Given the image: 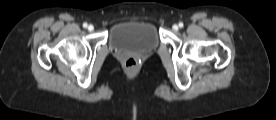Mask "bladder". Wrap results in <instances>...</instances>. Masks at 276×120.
I'll return each mask as SVG.
<instances>
[{"mask_svg":"<svg viewBox=\"0 0 276 120\" xmlns=\"http://www.w3.org/2000/svg\"><path fill=\"white\" fill-rule=\"evenodd\" d=\"M109 46L117 50L148 52L159 44L154 24L145 21H127L116 24L108 39Z\"/></svg>","mask_w":276,"mask_h":120,"instance_id":"1","label":"bladder"}]
</instances>
